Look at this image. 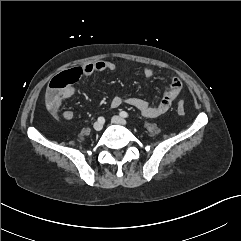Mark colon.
I'll return each instance as SVG.
<instances>
[{"label":"colon","mask_w":241,"mask_h":241,"mask_svg":"<svg viewBox=\"0 0 241 241\" xmlns=\"http://www.w3.org/2000/svg\"><path fill=\"white\" fill-rule=\"evenodd\" d=\"M85 76V69L80 64L74 69H68V71L57 75L50 83L47 90V100L53 99L59 92L75 81H80ZM186 110L184 102H179L177 105V111L179 114H184Z\"/></svg>","instance_id":"obj_1"}]
</instances>
